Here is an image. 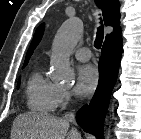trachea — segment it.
<instances>
[{
  "mask_svg": "<svg viewBox=\"0 0 141 139\" xmlns=\"http://www.w3.org/2000/svg\"><path fill=\"white\" fill-rule=\"evenodd\" d=\"M103 38H104V31H103V24H102V21H101V26L98 27L97 36H96V39L94 41V46L97 49L101 48V45H102V42H103Z\"/></svg>",
  "mask_w": 141,
  "mask_h": 139,
  "instance_id": "3493384b",
  "label": "trachea"
}]
</instances>
